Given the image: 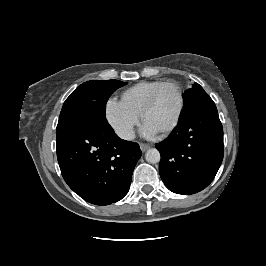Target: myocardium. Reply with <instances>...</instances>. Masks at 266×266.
I'll list each match as a JSON object with an SVG mask.
<instances>
[{
  "instance_id": "f54148a6",
  "label": "myocardium",
  "mask_w": 266,
  "mask_h": 266,
  "mask_svg": "<svg viewBox=\"0 0 266 266\" xmlns=\"http://www.w3.org/2000/svg\"><path fill=\"white\" fill-rule=\"evenodd\" d=\"M167 86H173L176 88L177 93H178V97H179V105H178V109L176 112V115L174 117V119L172 120V122L165 127L164 129H162L161 133H169L171 132L178 124L181 115L183 113L184 110V106H185V98H184V92L182 87L180 86L179 83L175 82V81H166L163 82L161 85H159L150 95V97L148 98V100L146 101L145 105L142 108L141 111V118L143 121H145V117L147 112L150 110V108L153 106L154 102L156 101L159 93L162 91L163 88L167 87Z\"/></svg>"
}]
</instances>
